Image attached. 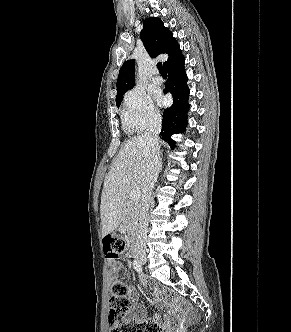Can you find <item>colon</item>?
Returning a JSON list of instances; mask_svg holds the SVG:
<instances>
[{
	"label": "colon",
	"instance_id": "5ec220e1",
	"mask_svg": "<svg viewBox=\"0 0 291 332\" xmlns=\"http://www.w3.org/2000/svg\"><path fill=\"white\" fill-rule=\"evenodd\" d=\"M106 258L117 259L126 250V240L118 234H108L103 239ZM130 309L128 287L122 282H115L109 298L110 332H160V327L154 320L130 321L126 314Z\"/></svg>",
	"mask_w": 291,
	"mask_h": 332
}]
</instances>
